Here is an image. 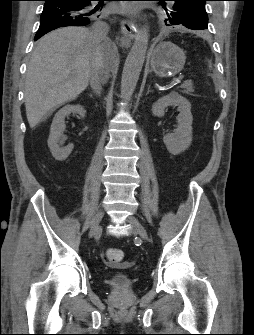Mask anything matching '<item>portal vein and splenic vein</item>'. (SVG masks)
Segmentation results:
<instances>
[{"label": "portal vein and splenic vein", "instance_id": "1", "mask_svg": "<svg viewBox=\"0 0 254 335\" xmlns=\"http://www.w3.org/2000/svg\"><path fill=\"white\" fill-rule=\"evenodd\" d=\"M181 81H182V77H178V78H176V79H174V83H181Z\"/></svg>", "mask_w": 254, "mask_h": 335}]
</instances>
